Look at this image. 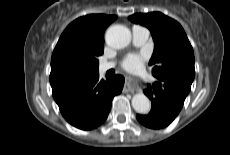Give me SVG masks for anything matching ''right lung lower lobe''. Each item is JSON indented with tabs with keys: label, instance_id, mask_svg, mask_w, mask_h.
<instances>
[{
	"label": "right lung lower lobe",
	"instance_id": "right-lung-lower-lobe-1",
	"mask_svg": "<svg viewBox=\"0 0 230 155\" xmlns=\"http://www.w3.org/2000/svg\"><path fill=\"white\" fill-rule=\"evenodd\" d=\"M123 85L121 75L99 80V72H96L51 86L63 117L79 129L90 130L106 120L112 99L121 93Z\"/></svg>",
	"mask_w": 230,
	"mask_h": 155
}]
</instances>
